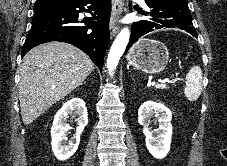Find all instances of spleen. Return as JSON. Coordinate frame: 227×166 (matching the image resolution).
<instances>
[{
	"mask_svg": "<svg viewBox=\"0 0 227 166\" xmlns=\"http://www.w3.org/2000/svg\"><path fill=\"white\" fill-rule=\"evenodd\" d=\"M202 89V70L199 66L194 65L186 74L185 97L189 101H196L201 95Z\"/></svg>",
	"mask_w": 227,
	"mask_h": 166,
	"instance_id": "1",
	"label": "spleen"
}]
</instances>
